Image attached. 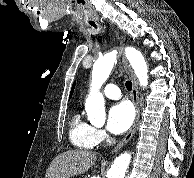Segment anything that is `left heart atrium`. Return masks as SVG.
<instances>
[{"label": "left heart atrium", "instance_id": "left-heart-atrium-1", "mask_svg": "<svg viewBox=\"0 0 194 178\" xmlns=\"http://www.w3.org/2000/svg\"><path fill=\"white\" fill-rule=\"evenodd\" d=\"M134 120V111L127 102L113 105L108 113L107 128L113 134L127 131Z\"/></svg>", "mask_w": 194, "mask_h": 178}]
</instances>
